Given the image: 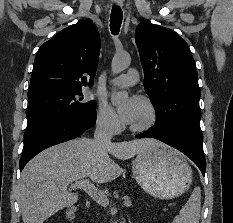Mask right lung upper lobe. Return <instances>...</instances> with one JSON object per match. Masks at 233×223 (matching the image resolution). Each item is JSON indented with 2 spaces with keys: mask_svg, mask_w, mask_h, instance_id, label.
Returning a JSON list of instances; mask_svg holds the SVG:
<instances>
[{
  "mask_svg": "<svg viewBox=\"0 0 233 223\" xmlns=\"http://www.w3.org/2000/svg\"><path fill=\"white\" fill-rule=\"evenodd\" d=\"M100 36L92 22L71 25L38 50L28 94L57 87L93 85Z\"/></svg>",
  "mask_w": 233,
  "mask_h": 223,
  "instance_id": "obj_1",
  "label": "right lung upper lobe"
}]
</instances>
